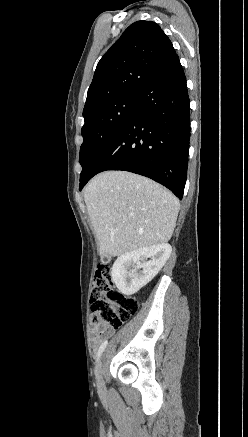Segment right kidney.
I'll return each mask as SVG.
<instances>
[{
	"label": "right kidney",
	"instance_id": "right-kidney-1",
	"mask_svg": "<svg viewBox=\"0 0 248 437\" xmlns=\"http://www.w3.org/2000/svg\"><path fill=\"white\" fill-rule=\"evenodd\" d=\"M171 252L168 243H161L122 254L112 266V280L121 293L133 295L158 274Z\"/></svg>",
	"mask_w": 248,
	"mask_h": 437
}]
</instances>
